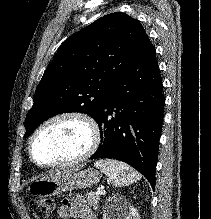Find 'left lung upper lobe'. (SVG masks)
<instances>
[{"label":"left lung upper lobe","mask_w":211,"mask_h":219,"mask_svg":"<svg viewBox=\"0 0 211 219\" xmlns=\"http://www.w3.org/2000/svg\"><path fill=\"white\" fill-rule=\"evenodd\" d=\"M148 40L142 25L121 12L66 39L37 87L25 137L56 114L82 112L96 119L106 94Z\"/></svg>","instance_id":"obj_1"}]
</instances>
